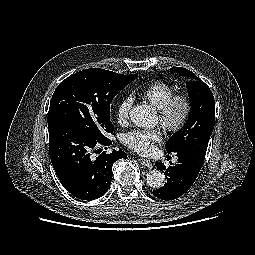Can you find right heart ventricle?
Listing matches in <instances>:
<instances>
[{
	"label": "right heart ventricle",
	"instance_id": "e07e8e85",
	"mask_svg": "<svg viewBox=\"0 0 255 255\" xmlns=\"http://www.w3.org/2000/svg\"><path fill=\"white\" fill-rule=\"evenodd\" d=\"M175 93L174 87L164 81H155L140 92V97L159 109Z\"/></svg>",
	"mask_w": 255,
	"mask_h": 255
}]
</instances>
